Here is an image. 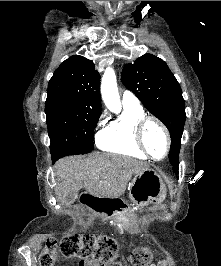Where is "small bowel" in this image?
Listing matches in <instances>:
<instances>
[{"instance_id": "small-bowel-1", "label": "small bowel", "mask_w": 221, "mask_h": 266, "mask_svg": "<svg viewBox=\"0 0 221 266\" xmlns=\"http://www.w3.org/2000/svg\"><path fill=\"white\" fill-rule=\"evenodd\" d=\"M54 266H58V264H54ZM79 266H100L98 262L95 261H86L81 262ZM151 266H167V263L165 260L158 258L155 264H152Z\"/></svg>"}]
</instances>
